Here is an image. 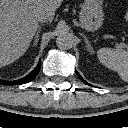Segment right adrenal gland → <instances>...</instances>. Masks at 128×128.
<instances>
[{"label":"right adrenal gland","instance_id":"1","mask_svg":"<svg viewBox=\"0 0 128 128\" xmlns=\"http://www.w3.org/2000/svg\"><path fill=\"white\" fill-rule=\"evenodd\" d=\"M43 25H40L39 28H38V31L34 37V41H33V45L36 46L37 43H38V40H39V34L41 32V28H42Z\"/></svg>","mask_w":128,"mask_h":128}]
</instances>
